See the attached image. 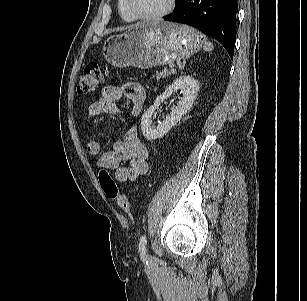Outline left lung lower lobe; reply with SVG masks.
I'll return each instance as SVG.
<instances>
[{
	"label": "left lung lower lobe",
	"instance_id": "1",
	"mask_svg": "<svg viewBox=\"0 0 307 301\" xmlns=\"http://www.w3.org/2000/svg\"><path fill=\"white\" fill-rule=\"evenodd\" d=\"M164 20L191 25L218 40L233 58L237 0H178Z\"/></svg>",
	"mask_w": 307,
	"mask_h": 301
}]
</instances>
